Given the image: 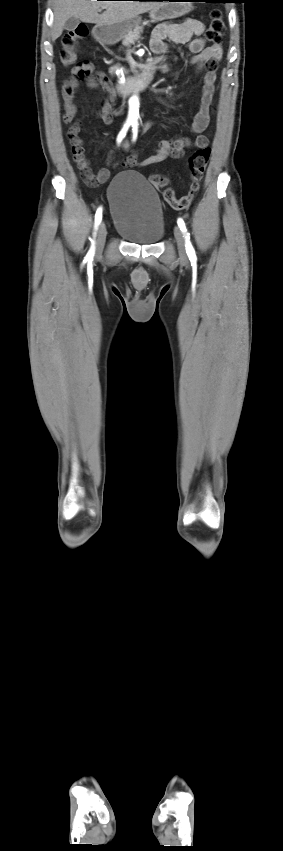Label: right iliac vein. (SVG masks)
I'll use <instances>...</instances> for the list:
<instances>
[{"label": "right iliac vein", "instance_id": "right-iliac-vein-1", "mask_svg": "<svg viewBox=\"0 0 283 851\" xmlns=\"http://www.w3.org/2000/svg\"><path fill=\"white\" fill-rule=\"evenodd\" d=\"M106 236H107L106 225H105L104 222H101L100 225H99L98 238H97V244H96V249H97L98 253L102 252V250L104 248Z\"/></svg>", "mask_w": 283, "mask_h": 851}]
</instances>
